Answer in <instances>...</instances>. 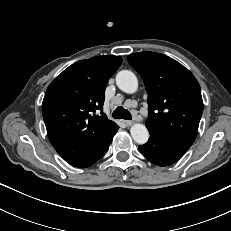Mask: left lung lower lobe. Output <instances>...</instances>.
Here are the masks:
<instances>
[{
	"mask_svg": "<svg viewBox=\"0 0 231 231\" xmlns=\"http://www.w3.org/2000/svg\"><path fill=\"white\" fill-rule=\"evenodd\" d=\"M149 130V141L139 146L140 152L152 163L159 166H168L178 161L189 149L162 134Z\"/></svg>",
	"mask_w": 231,
	"mask_h": 231,
	"instance_id": "left-lung-lower-lobe-1",
	"label": "left lung lower lobe"
}]
</instances>
